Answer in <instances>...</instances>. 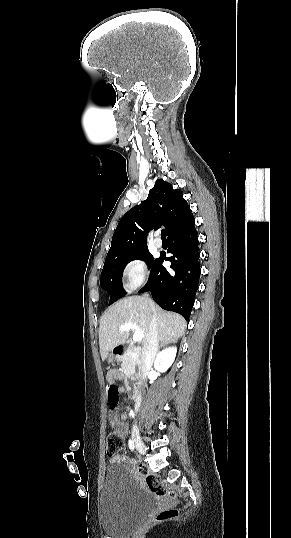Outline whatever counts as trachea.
I'll return each instance as SVG.
<instances>
[{"label":"trachea","instance_id":"1","mask_svg":"<svg viewBox=\"0 0 291 538\" xmlns=\"http://www.w3.org/2000/svg\"><path fill=\"white\" fill-rule=\"evenodd\" d=\"M161 238L166 239V231L164 229L161 231Z\"/></svg>","mask_w":291,"mask_h":538}]
</instances>
